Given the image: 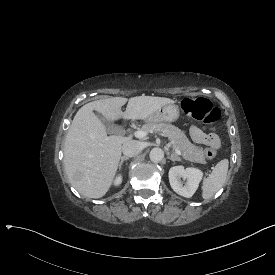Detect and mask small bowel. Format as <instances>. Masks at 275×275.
I'll use <instances>...</instances> for the list:
<instances>
[{"instance_id": "small-bowel-1", "label": "small bowel", "mask_w": 275, "mask_h": 275, "mask_svg": "<svg viewBox=\"0 0 275 275\" xmlns=\"http://www.w3.org/2000/svg\"><path fill=\"white\" fill-rule=\"evenodd\" d=\"M190 134L192 139L198 144L206 146L215 145L217 147L220 145L218 137L215 134L207 133L204 127L192 126Z\"/></svg>"}]
</instances>
